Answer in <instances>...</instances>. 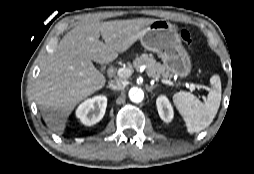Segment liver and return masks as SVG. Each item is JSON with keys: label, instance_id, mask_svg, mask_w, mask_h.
<instances>
[{"label": "liver", "instance_id": "obj_1", "mask_svg": "<svg viewBox=\"0 0 254 174\" xmlns=\"http://www.w3.org/2000/svg\"><path fill=\"white\" fill-rule=\"evenodd\" d=\"M154 21L138 18L86 22L60 40L36 82L37 104L45 123L54 132L62 134L75 106L105 85V76L92 61L100 64L113 61L140 39Z\"/></svg>", "mask_w": 254, "mask_h": 174}]
</instances>
